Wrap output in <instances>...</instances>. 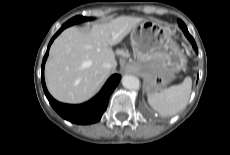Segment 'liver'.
I'll use <instances>...</instances> for the list:
<instances>
[{"instance_id":"6515ba94","label":"liver","mask_w":230,"mask_h":155,"mask_svg":"<svg viewBox=\"0 0 230 155\" xmlns=\"http://www.w3.org/2000/svg\"><path fill=\"white\" fill-rule=\"evenodd\" d=\"M143 20L120 16L105 24H94L89 31L77 27L64 30L53 42L45 66L50 94L65 103H81L91 98L109 75L103 63L115 60L112 46Z\"/></svg>"}]
</instances>
